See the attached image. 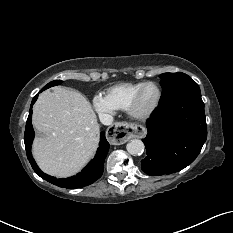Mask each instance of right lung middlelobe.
I'll list each match as a JSON object with an SVG mask.
<instances>
[{
    "mask_svg": "<svg viewBox=\"0 0 233 233\" xmlns=\"http://www.w3.org/2000/svg\"><path fill=\"white\" fill-rule=\"evenodd\" d=\"M61 82H62V81H60V80H54V81L48 83L46 86H44V87L42 88V90L48 89V88H50V87H52V86L59 85Z\"/></svg>",
    "mask_w": 233,
    "mask_h": 233,
    "instance_id": "right-lung-middle-lobe-1",
    "label": "right lung middle lobe"
}]
</instances>
